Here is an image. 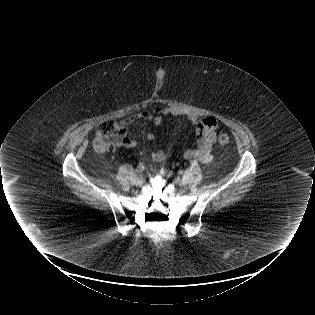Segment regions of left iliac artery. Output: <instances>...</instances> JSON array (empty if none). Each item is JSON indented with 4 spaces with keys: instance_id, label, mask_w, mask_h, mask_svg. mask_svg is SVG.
<instances>
[{
    "instance_id": "1",
    "label": "left iliac artery",
    "mask_w": 315,
    "mask_h": 315,
    "mask_svg": "<svg viewBox=\"0 0 315 315\" xmlns=\"http://www.w3.org/2000/svg\"><path fill=\"white\" fill-rule=\"evenodd\" d=\"M196 164H197V162H196V161H193V162L191 163V165H192V166H195ZM179 173H180V174H182V173H183V171H180Z\"/></svg>"
}]
</instances>
